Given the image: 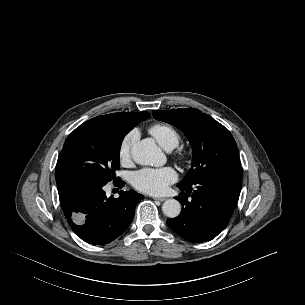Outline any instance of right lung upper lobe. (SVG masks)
Returning a JSON list of instances; mask_svg holds the SVG:
<instances>
[{
	"label": "right lung upper lobe",
	"instance_id": "right-lung-upper-lobe-1",
	"mask_svg": "<svg viewBox=\"0 0 305 305\" xmlns=\"http://www.w3.org/2000/svg\"><path fill=\"white\" fill-rule=\"evenodd\" d=\"M149 116L150 114L147 112H119L104 116H98L93 118V120L123 127H130L133 129L136 125H138L141 121L146 120Z\"/></svg>",
	"mask_w": 305,
	"mask_h": 305
}]
</instances>
